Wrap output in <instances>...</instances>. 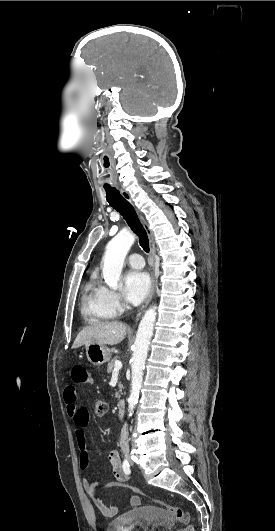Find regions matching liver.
<instances>
[{"label": "liver", "mask_w": 275, "mask_h": 531, "mask_svg": "<svg viewBox=\"0 0 275 531\" xmlns=\"http://www.w3.org/2000/svg\"><path fill=\"white\" fill-rule=\"evenodd\" d=\"M127 327L119 321L112 323H91L89 327H84L77 335L72 349H78L88 343H99V345H118L125 339Z\"/></svg>", "instance_id": "liver-1"}]
</instances>
